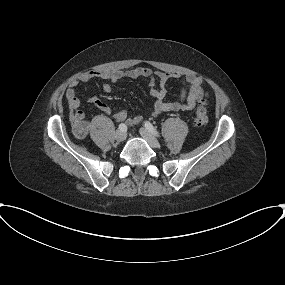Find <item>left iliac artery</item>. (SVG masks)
I'll return each mask as SVG.
<instances>
[{"label":"left iliac artery","mask_w":285,"mask_h":285,"mask_svg":"<svg viewBox=\"0 0 285 285\" xmlns=\"http://www.w3.org/2000/svg\"><path fill=\"white\" fill-rule=\"evenodd\" d=\"M144 125L149 132H151L153 135L157 137H160L158 131L154 128V126L150 122L146 121Z\"/></svg>","instance_id":"44dca946"}]
</instances>
